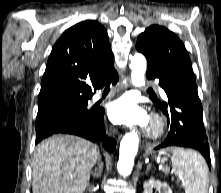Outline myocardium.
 Listing matches in <instances>:
<instances>
[{
	"instance_id": "1",
	"label": "myocardium",
	"mask_w": 221,
	"mask_h": 193,
	"mask_svg": "<svg viewBox=\"0 0 221 193\" xmlns=\"http://www.w3.org/2000/svg\"><path fill=\"white\" fill-rule=\"evenodd\" d=\"M164 130L165 124L162 118L157 114H153L150 118L149 124L144 129V135L148 139L156 140L162 137V135L164 134Z\"/></svg>"
}]
</instances>
